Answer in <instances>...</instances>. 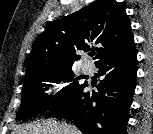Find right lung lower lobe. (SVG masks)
<instances>
[{"mask_svg": "<svg viewBox=\"0 0 153 134\" xmlns=\"http://www.w3.org/2000/svg\"><path fill=\"white\" fill-rule=\"evenodd\" d=\"M96 67L104 76L98 92H85L86 84L70 100L48 111L46 117L73 120L83 134H126L137 73L134 41L103 57Z\"/></svg>", "mask_w": 153, "mask_h": 134, "instance_id": "obj_1", "label": "right lung lower lobe"}]
</instances>
